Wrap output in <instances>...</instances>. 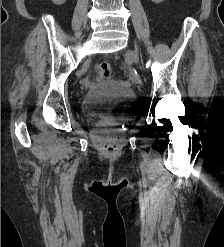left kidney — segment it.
<instances>
[{"label":"left kidney","mask_w":224,"mask_h":247,"mask_svg":"<svg viewBox=\"0 0 224 247\" xmlns=\"http://www.w3.org/2000/svg\"><path fill=\"white\" fill-rule=\"evenodd\" d=\"M151 2H155V4H160V2H163V0H151Z\"/></svg>","instance_id":"5707ae66"}]
</instances>
